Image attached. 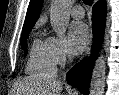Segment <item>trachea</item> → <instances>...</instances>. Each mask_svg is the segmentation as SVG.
Segmentation results:
<instances>
[{"instance_id":"trachea-1","label":"trachea","mask_w":119,"mask_h":95,"mask_svg":"<svg viewBox=\"0 0 119 95\" xmlns=\"http://www.w3.org/2000/svg\"><path fill=\"white\" fill-rule=\"evenodd\" d=\"M83 2H84L86 5H92V4H93V0H83Z\"/></svg>"}]
</instances>
